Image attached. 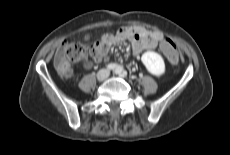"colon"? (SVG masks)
Instances as JSON below:
<instances>
[{
    "label": "colon",
    "mask_w": 230,
    "mask_h": 155,
    "mask_svg": "<svg viewBox=\"0 0 230 155\" xmlns=\"http://www.w3.org/2000/svg\"><path fill=\"white\" fill-rule=\"evenodd\" d=\"M158 47L164 56L169 60V66L175 67L179 62V54L174 42L171 39L159 41ZM107 50L104 42H94L85 45L79 42H66L56 51L54 55V67L57 72L64 78L71 75L70 62L87 61L88 57L100 59Z\"/></svg>",
    "instance_id": "1"
}]
</instances>
